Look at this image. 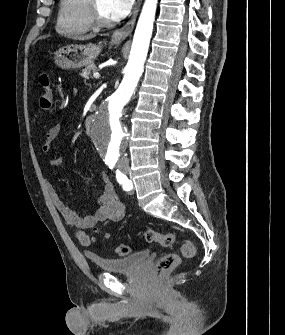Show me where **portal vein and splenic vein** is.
Masks as SVG:
<instances>
[{
  "label": "portal vein and splenic vein",
  "instance_id": "obj_1",
  "mask_svg": "<svg viewBox=\"0 0 285 335\" xmlns=\"http://www.w3.org/2000/svg\"><path fill=\"white\" fill-rule=\"evenodd\" d=\"M93 76L94 78H100V74H98V72H94Z\"/></svg>",
  "mask_w": 285,
  "mask_h": 335
}]
</instances>
